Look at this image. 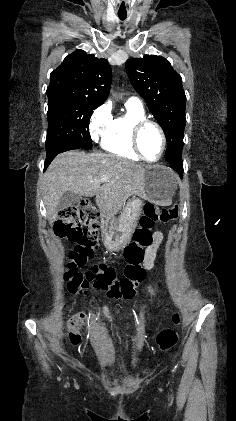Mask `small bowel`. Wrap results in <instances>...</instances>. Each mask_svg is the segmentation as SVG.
<instances>
[{"instance_id":"1","label":"small bowel","mask_w":236,"mask_h":421,"mask_svg":"<svg viewBox=\"0 0 236 421\" xmlns=\"http://www.w3.org/2000/svg\"><path fill=\"white\" fill-rule=\"evenodd\" d=\"M154 236H155V244H154L153 248L151 249L150 255H149V257H148L149 259L151 258V256L153 255V252L155 251V249L158 247L159 243H160V242H161V240H162V234H161V232H160V231H155ZM150 290H151L152 292H154V291H155L154 287H150ZM103 311H104V313H105V316H106V317H108V318H110V315H109V313H108V308H107V306H104V307H103Z\"/></svg>"}]
</instances>
